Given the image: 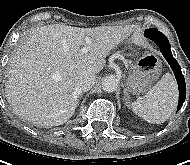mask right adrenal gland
Instances as JSON below:
<instances>
[{"label": "right adrenal gland", "mask_w": 190, "mask_h": 165, "mask_svg": "<svg viewBox=\"0 0 190 165\" xmlns=\"http://www.w3.org/2000/svg\"><path fill=\"white\" fill-rule=\"evenodd\" d=\"M81 96H82V94H80V95L78 96L77 105H79V101H80Z\"/></svg>", "instance_id": "2a0ac1e0"}]
</instances>
